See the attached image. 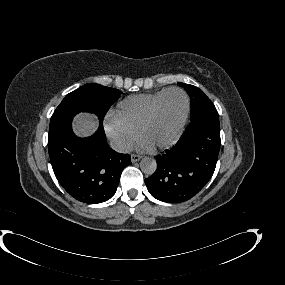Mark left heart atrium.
<instances>
[{"mask_svg": "<svg viewBox=\"0 0 285 285\" xmlns=\"http://www.w3.org/2000/svg\"><path fill=\"white\" fill-rule=\"evenodd\" d=\"M138 148L143 150V151H150L153 149V147L151 145H149L146 141H144L142 139L138 143Z\"/></svg>", "mask_w": 285, "mask_h": 285, "instance_id": "left-heart-atrium-1", "label": "left heart atrium"}]
</instances>
